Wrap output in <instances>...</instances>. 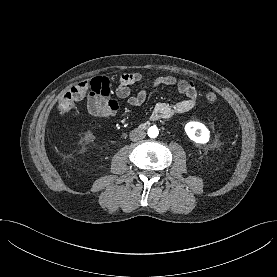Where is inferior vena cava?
Here are the masks:
<instances>
[{
    "label": "inferior vena cava",
    "instance_id": "inferior-vena-cava-1",
    "mask_svg": "<svg viewBox=\"0 0 277 277\" xmlns=\"http://www.w3.org/2000/svg\"><path fill=\"white\" fill-rule=\"evenodd\" d=\"M145 136H146V133L141 129H134L129 134L131 141H134V142L144 139Z\"/></svg>",
    "mask_w": 277,
    "mask_h": 277
}]
</instances>
